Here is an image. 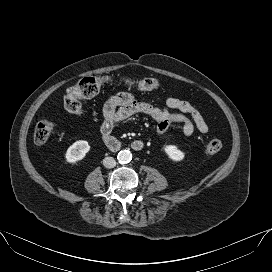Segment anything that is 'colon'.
Instances as JSON below:
<instances>
[{
	"label": "colon",
	"instance_id": "colon-1",
	"mask_svg": "<svg viewBox=\"0 0 272 272\" xmlns=\"http://www.w3.org/2000/svg\"><path fill=\"white\" fill-rule=\"evenodd\" d=\"M110 82H112V78L110 76L101 75L81 79L74 86L67 89L63 100L64 108L70 113H81L82 106L80 100L83 98H91L96 96L100 92L101 88ZM117 82L125 88L135 91L158 89L161 86L160 82L154 78H146L136 81L129 77H121L117 79ZM52 130L53 124L51 121H40L34 129V142L37 145L45 144L50 138ZM222 147L223 144L221 140L212 139L206 146V152L208 154H215L218 153Z\"/></svg>",
	"mask_w": 272,
	"mask_h": 272
}]
</instances>
